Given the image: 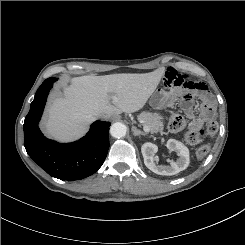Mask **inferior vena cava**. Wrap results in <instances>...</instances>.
Returning a JSON list of instances; mask_svg holds the SVG:
<instances>
[{"label":"inferior vena cava","instance_id":"inferior-vena-cava-1","mask_svg":"<svg viewBox=\"0 0 245 245\" xmlns=\"http://www.w3.org/2000/svg\"><path fill=\"white\" fill-rule=\"evenodd\" d=\"M99 118H106V115L105 114H100Z\"/></svg>","mask_w":245,"mask_h":245}]
</instances>
